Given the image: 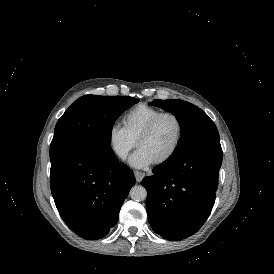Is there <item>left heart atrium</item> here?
<instances>
[{"mask_svg": "<svg viewBox=\"0 0 274 274\" xmlns=\"http://www.w3.org/2000/svg\"><path fill=\"white\" fill-rule=\"evenodd\" d=\"M128 162L133 167L141 168L150 165L152 163V160L142 148H137L129 156Z\"/></svg>", "mask_w": 274, "mask_h": 274, "instance_id": "obj_1", "label": "left heart atrium"}]
</instances>
